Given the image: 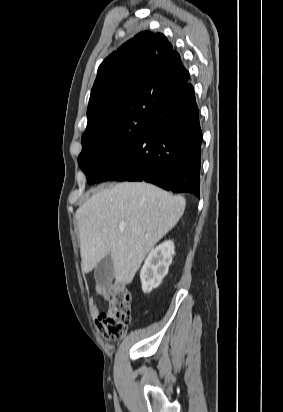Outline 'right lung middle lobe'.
<instances>
[{
	"label": "right lung middle lobe",
	"mask_w": 283,
	"mask_h": 412,
	"mask_svg": "<svg viewBox=\"0 0 283 412\" xmlns=\"http://www.w3.org/2000/svg\"><path fill=\"white\" fill-rule=\"evenodd\" d=\"M161 102H144L131 106L101 121L82 136L78 164L87 182L94 184L131 147L150 119L161 110Z\"/></svg>",
	"instance_id": "obj_1"
}]
</instances>
